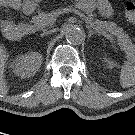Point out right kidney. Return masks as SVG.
<instances>
[{"label": "right kidney", "instance_id": "1", "mask_svg": "<svg viewBox=\"0 0 135 135\" xmlns=\"http://www.w3.org/2000/svg\"><path fill=\"white\" fill-rule=\"evenodd\" d=\"M42 64V56L38 52H30L28 54L18 56L11 67L13 72L21 78L34 75Z\"/></svg>", "mask_w": 135, "mask_h": 135}]
</instances>
